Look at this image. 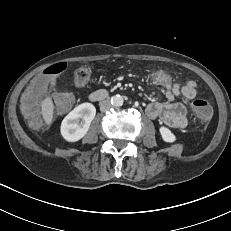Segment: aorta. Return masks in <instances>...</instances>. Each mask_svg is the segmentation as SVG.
<instances>
[{
  "instance_id": "obj_1",
  "label": "aorta",
  "mask_w": 231,
  "mask_h": 231,
  "mask_svg": "<svg viewBox=\"0 0 231 231\" xmlns=\"http://www.w3.org/2000/svg\"><path fill=\"white\" fill-rule=\"evenodd\" d=\"M123 103H124V99L121 95L117 94V95L112 96L111 104L113 107H120L123 105Z\"/></svg>"
}]
</instances>
